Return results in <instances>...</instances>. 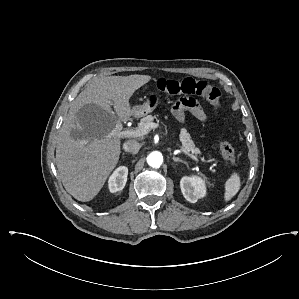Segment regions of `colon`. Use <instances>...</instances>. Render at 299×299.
I'll return each instance as SVG.
<instances>
[{
    "mask_svg": "<svg viewBox=\"0 0 299 299\" xmlns=\"http://www.w3.org/2000/svg\"><path fill=\"white\" fill-rule=\"evenodd\" d=\"M157 88L161 92L170 95L201 96L207 99L215 109H218L221 104V94L219 89L206 80H198L192 77L180 80L160 78L157 82ZM220 152L227 162L230 164L235 163L236 157L234 147L229 140H221Z\"/></svg>",
    "mask_w": 299,
    "mask_h": 299,
    "instance_id": "colon-1",
    "label": "colon"
}]
</instances>
